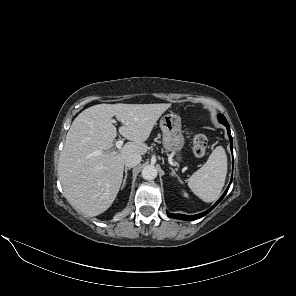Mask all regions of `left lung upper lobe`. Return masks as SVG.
Returning a JSON list of instances; mask_svg holds the SVG:
<instances>
[{
  "instance_id": "1",
  "label": "left lung upper lobe",
  "mask_w": 296,
  "mask_h": 296,
  "mask_svg": "<svg viewBox=\"0 0 296 296\" xmlns=\"http://www.w3.org/2000/svg\"><path fill=\"white\" fill-rule=\"evenodd\" d=\"M218 118H219L220 121L226 120V118L223 115H221V114L218 115Z\"/></svg>"
}]
</instances>
